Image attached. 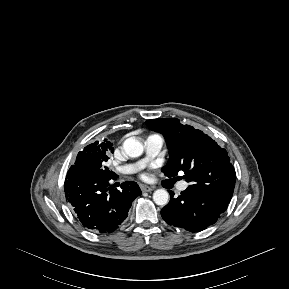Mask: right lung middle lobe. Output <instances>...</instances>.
<instances>
[{"instance_id":"obj_1","label":"right lung middle lobe","mask_w":289,"mask_h":289,"mask_svg":"<svg viewBox=\"0 0 289 289\" xmlns=\"http://www.w3.org/2000/svg\"><path fill=\"white\" fill-rule=\"evenodd\" d=\"M113 151L112 145L96 141L78 153L75 165H72L71 168H78L97 178L110 179L112 172L106 166V162L109 159L108 155Z\"/></svg>"}]
</instances>
